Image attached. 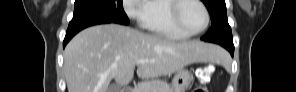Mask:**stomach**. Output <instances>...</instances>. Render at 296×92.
I'll return each mask as SVG.
<instances>
[{"label": "stomach", "instance_id": "0dacf381", "mask_svg": "<svg viewBox=\"0 0 296 92\" xmlns=\"http://www.w3.org/2000/svg\"><path fill=\"white\" fill-rule=\"evenodd\" d=\"M192 79L193 76L187 69L177 71L172 80V92H185Z\"/></svg>", "mask_w": 296, "mask_h": 92}]
</instances>
